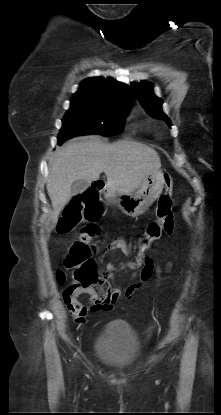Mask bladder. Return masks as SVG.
Wrapping results in <instances>:
<instances>
[{
	"instance_id": "31cf9c89",
	"label": "bladder",
	"mask_w": 221,
	"mask_h": 415,
	"mask_svg": "<svg viewBox=\"0 0 221 415\" xmlns=\"http://www.w3.org/2000/svg\"><path fill=\"white\" fill-rule=\"evenodd\" d=\"M95 352L102 363L113 368H124L138 358L140 343L128 322L113 320L97 337Z\"/></svg>"
}]
</instances>
